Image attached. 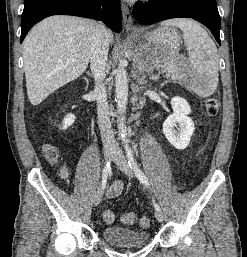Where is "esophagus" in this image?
Instances as JSON below:
<instances>
[{"mask_svg": "<svg viewBox=\"0 0 247 257\" xmlns=\"http://www.w3.org/2000/svg\"><path fill=\"white\" fill-rule=\"evenodd\" d=\"M123 25L127 32L135 31L136 28L133 25V19L129 8L126 5H122Z\"/></svg>", "mask_w": 247, "mask_h": 257, "instance_id": "esophagus-1", "label": "esophagus"}]
</instances>
